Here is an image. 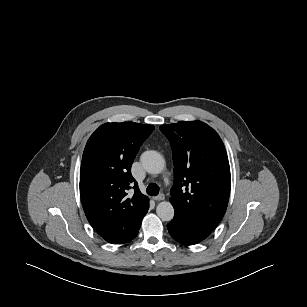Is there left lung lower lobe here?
Wrapping results in <instances>:
<instances>
[{"label": "left lung lower lobe", "instance_id": "0a47b994", "mask_svg": "<svg viewBox=\"0 0 307 307\" xmlns=\"http://www.w3.org/2000/svg\"><path fill=\"white\" fill-rule=\"evenodd\" d=\"M167 228L171 237L184 245H194L207 238V235L191 228L176 216L167 225Z\"/></svg>", "mask_w": 307, "mask_h": 307}]
</instances>
